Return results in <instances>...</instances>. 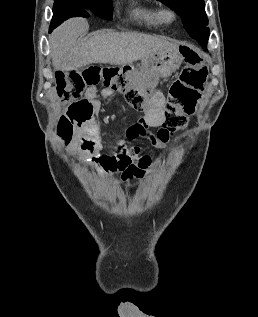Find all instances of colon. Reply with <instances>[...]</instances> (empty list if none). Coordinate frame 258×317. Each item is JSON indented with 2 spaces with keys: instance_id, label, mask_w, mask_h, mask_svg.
I'll use <instances>...</instances> for the list:
<instances>
[{
  "instance_id": "colon-1",
  "label": "colon",
  "mask_w": 258,
  "mask_h": 317,
  "mask_svg": "<svg viewBox=\"0 0 258 317\" xmlns=\"http://www.w3.org/2000/svg\"><path fill=\"white\" fill-rule=\"evenodd\" d=\"M182 54L186 67L171 85L164 106L162 126L170 134L181 130L187 124V118L195 110L208 75L205 58L199 50L184 47ZM98 85L116 88L133 106L143 110L152 109L156 101L153 91L139 83L130 70L89 64L81 69H70L56 76L57 95L61 101L72 100L69 106L81 100L89 88ZM75 126V119L66 110L60 116L57 125L58 136L64 143L73 140Z\"/></svg>"
}]
</instances>
